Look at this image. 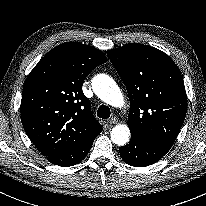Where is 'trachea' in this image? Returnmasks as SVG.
<instances>
[{
	"mask_svg": "<svg viewBox=\"0 0 206 206\" xmlns=\"http://www.w3.org/2000/svg\"><path fill=\"white\" fill-rule=\"evenodd\" d=\"M111 111L110 108L106 105L99 106L97 110V116L102 119H107L110 117Z\"/></svg>",
	"mask_w": 206,
	"mask_h": 206,
	"instance_id": "trachea-1",
	"label": "trachea"
}]
</instances>
